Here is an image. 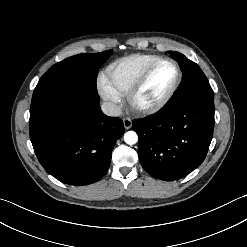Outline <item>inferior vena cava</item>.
I'll list each match as a JSON object with an SVG mask.
<instances>
[{
  "label": "inferior vena cava",
  "mask_w": 247,
  "mask_h": 247,
  "mask_svg": "<svg viewBox=\"0 0 247 247\" xmlns=\"http://www.w3.org/2000/svg\"><path fill=\"white\" fill-rule=\"evenodd\" d=\"M101 109L107 116L116 117L121 114V107L112 102H104L101 105Z\"/></svg>",
  "instance_id": "602c4592"
}]
</instances>
